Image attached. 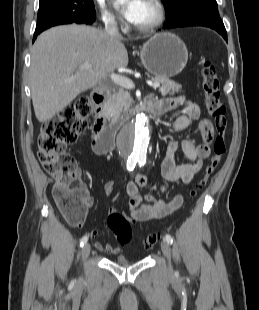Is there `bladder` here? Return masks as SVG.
<instances>
[{
    "mask_svg": "<svg viewBox=\"0 0 259 310\" xmlns=\"http://www.w3.org/2000/svg\"><path fill=\"white\" fill-rule=\"evenodd\" d=\"M114 261L117 263V264H119V265H128L129 264V262L126 260V258L125 257H123V256H118V257H116L115 259H114Z\"/></svg>",
    "mask_w": 259,
    "mask_h": 310,
    "instance_id": "1",
    "label": "bladder"
}]
</instances>
